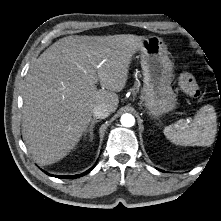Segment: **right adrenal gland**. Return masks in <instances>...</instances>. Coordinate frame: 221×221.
Masks as SVG:
<instances>
[{"label": "right adrenal gland", "instance_id": "2a0ac1e0", "mask_svg": "<svg viewBox=\"0 0 221 221\" xmlns=\"http://www.w3.org/2000/svg\"><path fill=\"white\" fill-rule=\"evenodd\" d=\"M100 120H97V119H93L88 127V129L85 131V133H89V136H90V140L92 141L93 140V137H94V133H93V129H94V126L97 122H99Z\"/></svg>", "mask_w": 221, "mask_h": 221}]
</instances>
